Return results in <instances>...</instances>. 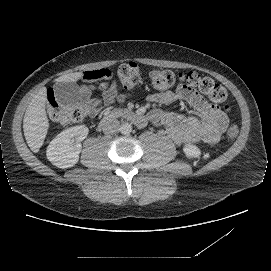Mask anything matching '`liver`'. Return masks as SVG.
I'll return each instance as SVG.
<instances>
[{
  "instance_id": "liver-1",
  "label": "liver",
  "mask_w": 271,
  "mask_h": 271,
  "mask_svg": "<svg viewBox=\"0 0 271 271\" xmlns=\"http://www.w3.org/2000/svg\"><path fill=\"white\" fill-rule=\"evenodd\" d=\"M80 73H70L59 78L60 82L75 81ZM46 88H41L29 103L23 120V131L29 148L39 151L45 140L48 122L45 116Z\"/></svg>"
}]
</instances>
